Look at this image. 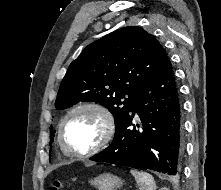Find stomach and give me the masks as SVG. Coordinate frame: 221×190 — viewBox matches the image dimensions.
<instances>
[{
    "mask_svg": "<svg viewBox=\"0 0 221 190\" xmlns=\"http://www.w3.org/2000/svg\"><path fill=\"white\" fill-rule=\"evenodd\" d=\"M89 183L98 188V190H117L123 185V180L111 173H103Z\"/></svg>",
    "mask_w": 221,
    "mask_h": 190,
    "instance_id": "0dacf381",
    "label": "stomach"
}]
</instances>
